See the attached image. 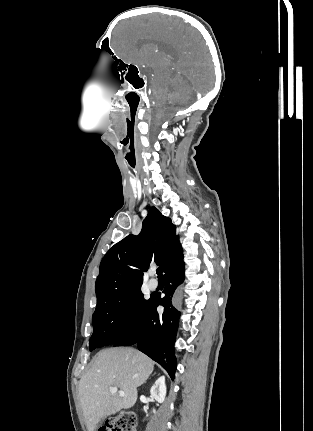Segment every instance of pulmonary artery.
<instances>
[{
  "instance_id": "1",
  "label": "pulmonary artery",
  "mask_w": 313,
  "mask_h": 431,
  "mask_svg": "<svg viewBox=\"0 0 313 431\" xmlns=\"http://www.w3.org/2000/svg\"><path fill=\"white\" fill-rule=\"evenodd\" d=\"M158 287V282L154 279L150 280L149 282V288L151 290H155Z\"/></svg>"
}]
</instances>
